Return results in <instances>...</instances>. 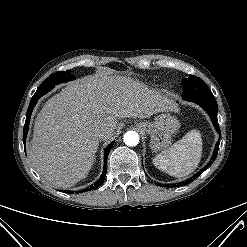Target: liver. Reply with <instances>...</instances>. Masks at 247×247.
<instances>
[{
	"instance_id": "1",
	"label": "liver",
	"mask_w": 247,
	"mask_h": 247,
	"mask_svg": "<svg viewBox=\"0 0 247 247\" xmlns=\"http://www.w3.org/2000/svg\"><path fill=\"white\" fill-rule=\"evenodd\" d=\"M177 112L174 101L129 77L95 76L67 85L38 113L29 148L33 168L54 187L69 188L88 175L104 128L109 140L120 118Z\"/></svg>"
}]
</instances>
